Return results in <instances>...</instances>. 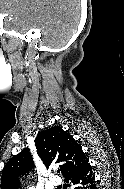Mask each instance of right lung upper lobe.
<instances>
[{
  "mask_svg": "<svg viewBox=\"0 0 124 189\" xmlns=\"http://www.w3.org/2000/svg\"><path fill=\"white\" fill-rule=\"evenodd\" d=\"M35 146L46 167L52 163H60L64 177L88 160L77 141L61 127L55 126L40 132L35 139ZM32 165L33 158L29 148L13 156L3 168L1 189H18L17 177L29 172Z\"/></svg>",
  "mask_w": 124,
  "mask_h": 189,
  "instance_id": "cb5924a9",
  "label": "right lung upper lobe"
}]
</instances>
